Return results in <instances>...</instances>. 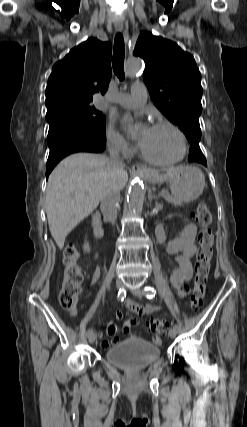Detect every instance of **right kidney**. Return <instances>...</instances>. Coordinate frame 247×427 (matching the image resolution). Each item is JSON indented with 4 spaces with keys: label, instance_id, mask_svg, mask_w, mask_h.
<instances>
[{
    "label": "right kidney",
    "instance_id": "ca27d5eb",
    "mask_svg": "<svg viewBox=\"0 0 247 427\" xmlns=\"http://www.w3.org/2000/svg\"><path fill=\"white\" fill-rule=\"evenodd\" d=\"M83 249L85 252L89 253L90 252V246L88 244V242H85L83 245Z\"/></svg>",
    "mask_w": 247,
    "mask_h": 427
}]
</instances>
